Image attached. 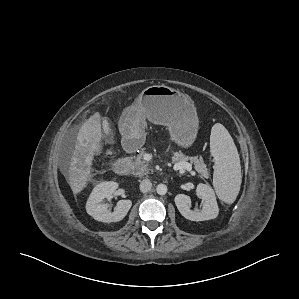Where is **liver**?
<instances>
[{
	"mask_svg": "<svg viewBox=\"0 0 299 299\" xmlns=\"http://www.w3.org/2000/svg\"><path fill=\"white\" fill-rule=\"evenodd\" d=\"M100 118L99 113L94 114L86 120L78 132L68 168V183L74 195L86 187L94 156L102 152Z\"/></svg>",
	"mask_w": 299,
	"mask_h": 299,
	"instance_id": "6515ba94",
	"label": "liver"
}]
</instances>
